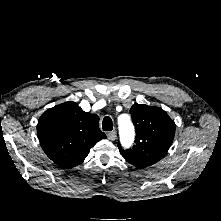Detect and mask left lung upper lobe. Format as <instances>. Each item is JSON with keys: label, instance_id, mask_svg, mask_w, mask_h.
Masks as SVG:
<instances>
[{"label": "left lung upper lobe", "instance_id": "left-lung-upper-lobe-1", "mask_svg": "<svg viewBox=\"0 0 221 221\" xmlns=\"http://www.w3.org/2000/svg\"><path fill=\"white\" fill-rule=\"evenodd\" d=\"M130 114L137 130L135 145L123 150L118 143L119 151L130 164L145 168L158 162L168 151L175 123L163 109L145 104H134Z\"/></svg>", "mask_w": 221, "mask_h": 221}]
</instances>
